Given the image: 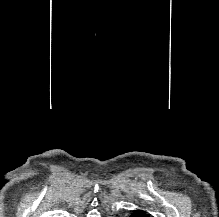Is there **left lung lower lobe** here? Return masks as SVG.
<instances>
[{"label":"left lung lower lobe","mask_w":219,"mask_h":217,"mask_svg":"<svg viewBox=\"0 0 219 217\" xmlns=\"http://www.w3.org/2000/svg\"><path fill=\"white\" fill-rule=\"evenodd\" d=\"M130 217H152L143 210H135Z\"/></svg>","instance_id":"0a47b994"}]
</instances>
